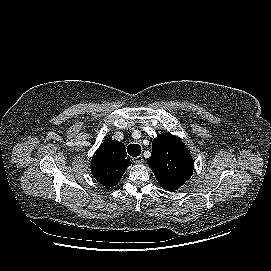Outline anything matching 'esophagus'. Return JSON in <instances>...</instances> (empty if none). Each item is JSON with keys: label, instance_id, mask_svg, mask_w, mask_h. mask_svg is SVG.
I'll use <instances>...</instances> for the list:
<instances>
[{"label": "esophagus", "instance_id": "obj_1", "mask_svg": "<svg viewBox=\"0 0 271 271\" xmlns=\"http://www.w3.org/2000/svg\"><path fill=\"white\" fill-rule=\"evenodd\" d=\"M134 163L141 164L143 162V156L139 155L135 158H133Z\"/></svg>", "mask_w": 271, "mask_h": 271}]
</instances>
